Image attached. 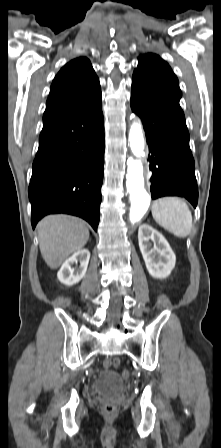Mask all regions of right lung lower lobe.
Listing matches in <instances>:
<instances>
[{
	"label": "right lung lower lobe",
	"mask_w": 221,
	"mask_h": 448,
	"mask_svg": "<svg viewBox=\"0 0 221 448\" xmlns=\"http://www.w3.org/2000/svg\"><path fill=\"white\" fill-rule=\"evenodd\" d=\"M104 146L101 95L43 124L28 190L33 228L47 214L68 213L97 230Z\"/></svg>",
	"instance_id": "1"
}]
</instances>
